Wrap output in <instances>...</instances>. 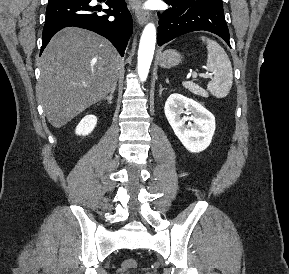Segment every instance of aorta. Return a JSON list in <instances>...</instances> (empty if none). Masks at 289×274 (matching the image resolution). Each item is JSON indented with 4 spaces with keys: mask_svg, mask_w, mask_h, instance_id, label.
I'll return each mask as SVG.
<instances>
[{
    "mask_svg": "<svg viewBox=\"0 0 289 274\" xmlns=\"http://www.w3.org/2000/svg\"><path fill=\"white\" fill-rule=\"evenodd\" d=\"M156 43V28L149 23L143 30L138 50V75L141 81L147 79Z\"/></svg>",
    "mask_w": 289,
    "mask_h": 274,
    "instance_id": "1",
    "label": "aorta"
}]
</instances>
